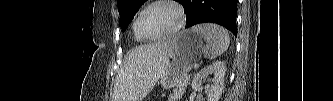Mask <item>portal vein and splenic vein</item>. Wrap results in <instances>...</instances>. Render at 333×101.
<instances>
[{"instance_id": "1", "label": "portal vein and splenic vein", "mask_w": 333, "mask_h": 101, "mask_svg": "<svg viewBox=\"0 0 333 101\" xmlns=\"http://www.w3.org/2000/svg\"><path fill=\"white\" fill-rule=\"evenodd\" d=\"M199 67V65H195V68H198Z\"/></svg>"}]
</instances>
